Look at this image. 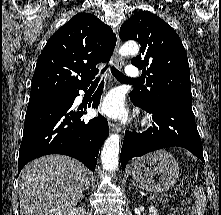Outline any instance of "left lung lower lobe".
Segmentation results:
<instances>
[{"instance_id":"1","label":"left lung lower lobe","mask_w":221,"mask_h":215,"mask_svg":"<svg viewBox=\"0 0 221 215\" xmlns=\"http://www.w3.org/2000/svg\"><path fill=\"white\" fill-rule=\"evenodd\" d=\"M130 98L136 106L153 114V126L143 133L125 132L120 158L123 170L133 157L173 146L188 149L204 162L203 147L192 108L177 105L148 107Z\"/></svg>"}]
</instances>
